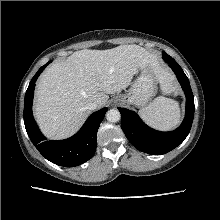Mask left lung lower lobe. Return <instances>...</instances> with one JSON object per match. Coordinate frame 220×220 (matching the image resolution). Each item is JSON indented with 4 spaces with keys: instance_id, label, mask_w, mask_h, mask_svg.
Returning a JSON list of instances; mask_svg holds the SVG:
<instances>
[{
    "instance_id": "left-lung-lower-lobe-1",
    "label": "left lung lower lobe",
    "mask_w": 220,
    "mask_h": 220,
    "mask_svg": "<svg viewBox=\"0 0 220 220\" xmlns=\"http://www.w3.org/2000/svg\"><path fill=\"white\" fill-rule=\"evenodd\" d=\"M163 59L176 74L186 96V114L182 124L174 131L160 132L148 127L135 112L118 108L122 116L121 127L128 140L138 150L152 155L165 154L180 145L189 134L194 117V97L187 76L171 56L163 54Z\"/></svg>"
}]
</instances>
